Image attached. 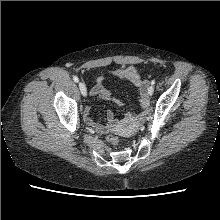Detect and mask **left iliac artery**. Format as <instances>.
<instances>
[{"mask_svg":"<svg viewBox=\"0 0 220 220\" xmlns=\"http://www.w3.org/2000/svg\"><path fill=\"white\" fill-rule=\"evenodd\" d=\"M151 84L154 85V84H155V80H152V81H151Z\"/></svg>","mask_w":220,"mask_h":220,"instance_id":"obj_1","label":"left iliac artery"}]
</instances>
